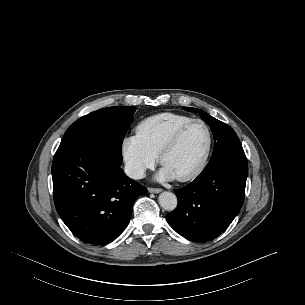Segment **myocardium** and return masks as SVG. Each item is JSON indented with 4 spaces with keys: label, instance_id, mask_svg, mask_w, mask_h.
Listing matches in <instances>:
<instances>
[{
    "label": "myocardium",
    "instance_id": "obj_1",
    "mask_svg": "<svg viewBox=\"0 0 305 305\" xmlns=\"http://www.w3.org/2000/svg\"><path fill=\"white\" fill-rule=\"evenodd\" d=\"M193 124H201L204 126V128L206 129L207 132V146L205 149V152L203 154V157L201 159V161L199 162V164L189 173L176 177V179L180 182H186V181H190L192 179H195L197 176H199L203 170L205 169L211 151H212V145H213V134L211 131L210 126L203 120L201 119H191L190 121L186 122L185 124H183L182 126H180L175 133L172 135V137L169 139V141L163 146L162 150L160 151L159 154V160L162 166H164V160L166 158V156L175 149V147L178 145L183 133L186 131L187 128H189L191 125Z\"/></svg>",
    "mask_w": 305,
    "mask_h": 305
}]
</instances>
